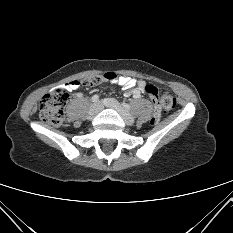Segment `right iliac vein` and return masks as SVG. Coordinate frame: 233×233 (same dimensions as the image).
Wrapping results in <instances>:
<instances>
[{"label": "right iliac vein", "mask_w": 233, "mask_h": 233, "mask_svg": "<svg viewBox=\"0 0 233 233\" xmlns=\"http://www.w3.org/2000/svg\"><path fill=\"white\" fill-rule=\"evenodd\" d=\"M101 109H102V107H101L100 103L92 104L89 108L88 117L90 119L94 118L101 111Z\"/></svg>", "instance_id": "1"}]
</instances>
